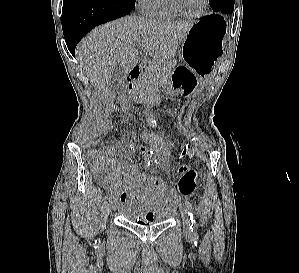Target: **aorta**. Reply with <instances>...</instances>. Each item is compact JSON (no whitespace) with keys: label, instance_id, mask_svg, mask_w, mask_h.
<instances>
[{"label":"aorta","instance_id":"1","mask_svg":"<svg viewBox=\"0 0 299 273\" xmlns=\"http://www.w3.org/2000/svg\"><path fill=\"white\" fill-rule=\"evenodd\" d=\"M148 122H149V123H154V122H153V117H152V118H151V117L148 118Z\"/></svg>","mask_w":299,"mask_h":273}]
</instances>
